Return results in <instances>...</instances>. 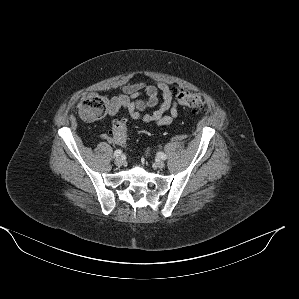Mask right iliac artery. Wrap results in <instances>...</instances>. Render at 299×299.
<instances>
[{
  "instance_id": "right-iliac-artery-1",
  "label": "right iliac artery",
  "mask_w": 299,
  "mask_h": 299,
  "mask_svg": "<svg viewBox=\"0 0 299 299\" xmlns=\"http://www.w3.org/2000/svg\"><path fill=\"white\" fill-rule=\"evenodd\" d=\"M121 154H122V151L119 149L114 152V156H116V157L121 156Z\"/></svg>"
}]
</instances>
